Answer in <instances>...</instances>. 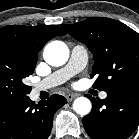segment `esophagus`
<instances>
[{
    "label": "esophagus",
    "instance_id": "esophagus-1",
    "mask_svg": "<svg viewBox=\"0 0 139 139\" xmlns=\"http://www.w3.org/2000/svg\"><path fill=\"white\" fill-rule=\"evenodd\" d=\"M75 97H76L75 94H67L66 95V99L68 102L72 101Z\"/></svg>",
    "mask_w": 139,
    "mask_h": 139
}]
</instances>
